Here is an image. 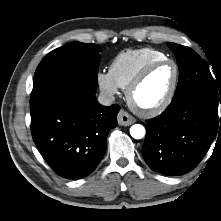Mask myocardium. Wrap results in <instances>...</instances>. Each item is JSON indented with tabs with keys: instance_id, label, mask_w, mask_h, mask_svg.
Returning a JSON list of instances; mask_svg holds the SVG:
<instances>
[{
	"instance_id": "obj_1",
	"label": "myocardium",
	"mask_w": 221,
	"mask_h": 221,
	"mask_svg": "<svg viewBox=\"0 0 221 221\" xmlns=\"http://www.w3.org/2000/svg\"><path fill=\"white\" fill-rule=\"evenodd\" d=\"M164 64H171L174 68V78H173L170 89L168 90L163 100L157 105L150 107V108L140 107L139 105L136 104L134 100L135 91L144 82V80L147 78V76L150 74V72L154 68L160 65H164ZM179 76H180L179 67L177 63L173 61L172 59L165 58V59L155 60V61L148 63L140 70V72L135 76V78L130 82V84L126 88V98H127L129 105L132 107V109H134L140 115L147 116V117L159 115L160 113L165 111L168 108V106L171 104L175 96L177 87H178Z\"/></svg>"
}]
</instances>
